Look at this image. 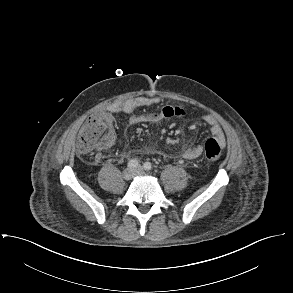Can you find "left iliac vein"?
<instances>
[{
	"mask_svg": "<svg viewBox=\"0 0 293 293\" xmlns=\"http://www.w3.org/2000/svg\"><path fill=\"white\" fill-rule=\"evenodd\" d=\"M146 173H145V171L143 170V168L142 167H137L136 169H135V175H139V176H143V175H145Z\"/></svg>",
	"mask_w": 293,
	"mask_h": 293,
	"instance_id": "left-iliac-vein-1",
	"label": "left iliac vein"
}]
</instances>
